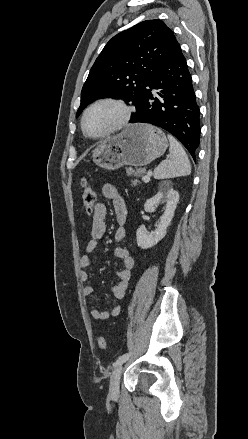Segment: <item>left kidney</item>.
<instances>
[{"label":"left kidney","mask_w":248,"mask_h":439,"mask_svg":"<svg viewBox=\"0 0 248 439\" xmlns=\"http://www.w3.org/2000/svg\"><path fill=\"white\" fill-rule=\"evenodd\" d=\"M165 203L164 213L151 233H147L142 228H138L136 232L137 245L141 249H148L156 245L162 240L167 232V228L174 216L176 206L179 202V194L168 185H161L155 196L148 199L144 205L146 212H154L155 206L159 203Z\"/></svg>","instance_id":"left-kidney-1"}]
</instances>
